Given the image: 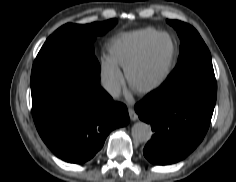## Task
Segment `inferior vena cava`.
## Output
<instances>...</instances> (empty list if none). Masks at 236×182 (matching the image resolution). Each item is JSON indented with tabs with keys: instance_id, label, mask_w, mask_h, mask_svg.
<instances>
[{
	"instance_id": "inferior-vena-cava-1",
	"label": "inferior vena cava",
	"mask_w": 236,
	"mask_h": 182,
	"mask_svg": "<svg viewBox=\"0 0 236 182\" xmlns=\"http://www.w3.org/2000/svg\"><path fill=\"white\" fill-rule=\"evenodd\" d=\"M102 87L114 98L119 97L121 93V87L117 80L114 79H103Z\"/></svg>"
}]
</instances>
